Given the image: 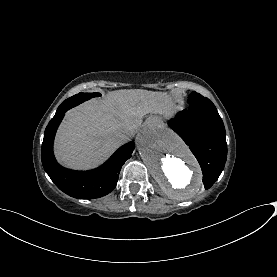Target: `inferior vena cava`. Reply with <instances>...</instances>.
I'll return each instance as SVG.
<instances>
[{
    "label": "inferior vena cava",
    "instance_id": "602c4592",
    "mask_svg": "<svg viewBox=\"0 0 277 277\" xmlns=\"http://www.w3.org/2000/svg\"><path fill=\"white\" fill-rule=\"evenodd\" d=\"M134 130L132 129H119L115 131L114 135L118 142L124 143L133 136Z\"/></svg>",
    "mask_w": 277,
    "mask_h": 277
}]
</instances>
